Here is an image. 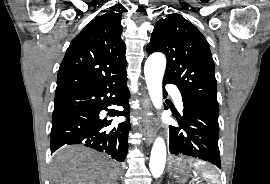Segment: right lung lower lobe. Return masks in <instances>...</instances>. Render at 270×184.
I'll list each match as a JSON object with an SVG mask.
<instances>
[{
  "label": "right lung lower lobe",
  "instance_id": "98d812e1",
  "mask_svg": "<svg viewBox=\"0 0 270 184\" xmlns=\"http://www.w3.org/2000/svg\"><path fill=\"white\" fill-rule=\"evenodd\" d=\"M126 81L127 76H123L104 85L55 94L51 153L63 145L82 144L124 161L128 151V121L105 129L111 121H101L99 113L115 104L124 110H114L112 117H128L130 94Z\"/></svg>",
  "mask_w": 270,
  "mask_h": 184
}]
</instances>
